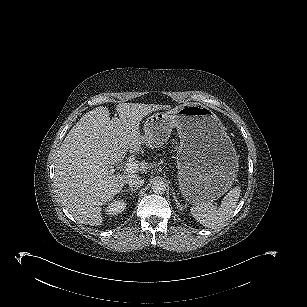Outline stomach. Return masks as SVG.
<instances>
[{
	"label": "stomach",
	"instance_id": "0dacf381",
	"mask_svg": "<svg viewBox=\"0 0 307 307\" xmlns=\"http://www.w3.org/2000/svg\"><path fill=\"white\" fill-rule=\"evenodd\" d=\"M177 128L179 188L194 204L216 200L232 185L238 157L219 118L206 106L190 102L152 114L145 122L148 145H163Z\"/></svg>",
	"mask_w": 307,
	"mask_h": 307
}]
</instances>
